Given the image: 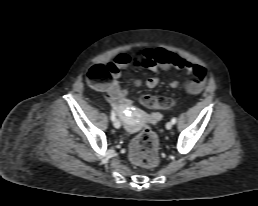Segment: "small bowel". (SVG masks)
Returning <instances> with one entry per match:
<instances>
[{"label": "small bowel", "mask_w": 258, "mask_h": 206, "mask_svg": "<svg viewBox=\"0 0 258 206\" xmlns=\"http://www.w3.org/2000/svg\"><path fill=\"white\" fill-rule=\"evenodd\" d=\"M133 62V58L128 54L117 55L107 67L110 72V81L106 84L100 85L99 88L106 94L107 99L125 117V124L129 129H132L136 122L132 120L127 111L129 108V99L127 90L120 85V78L122 70L128 68ZM140 64L152 71L177 69L185 71L188 74L194 75V79L187 82L185 88L190 94H198L202 91L206 84V69L200 65L181 58L177 54L167 51L162 48L146 49L139 59ZM159 84L157 77H151L146 80L136 79L134 85L137 87L146 86L154 88ZM178 81H171L170 86L177 88ZM162 118L160 113L150 114L146 120L150 122H157Z\"/></svg>", "instance_id": "small-bowel-1"}]
</instances>
